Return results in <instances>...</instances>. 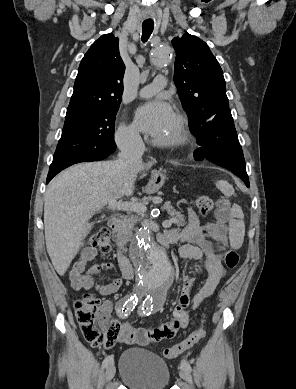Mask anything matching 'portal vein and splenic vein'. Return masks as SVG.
<instances>
[{
	"mask_svg": "<svg viewBox=\"0 0 296 389\" xmlns=\"http://www.w3.org/2000/svg\"><path fill=\"white\" fill-rule=\"evenodd\" d=\"M109 210L117 211H134V212H145L147 210L144 204L138 202H117L116 200H111L107 206ZM163 227L169 228L172 226L171 220H166L162 223Z\"/></svg>",
	"mask_w": 296,
	"mask_h": 389,
	"instance_id": "portal-vein-and-splenic-vein-1",
	"label": "portal vein and splenic vein"
}]
</instances>
